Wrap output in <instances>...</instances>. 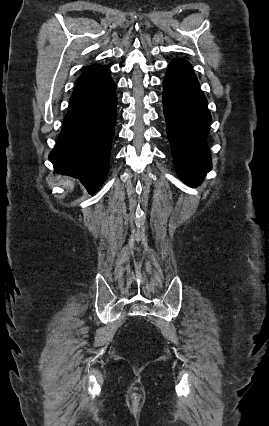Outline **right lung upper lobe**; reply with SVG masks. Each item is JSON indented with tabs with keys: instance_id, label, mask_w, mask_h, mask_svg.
I'll return each instance as SVG.
<instances>
[{
	"instance_id": "cb5924a9",
	"label": "right lung upper lobe",
	"mask_w": 269,
	"mask_h": 426,
	"mask_svg": "<svg viewBox=\"0 0 269 426\" xmlns=\"http://www.w3.org/2000/svg\"><path fill=\"white\" fill-rule=\"evenodd\" d=\"M96 67H99V66H97V65L91 66V67H89V68H88V70H90V69H94V68H96Z\"/></svg>"
}]
</instances>
